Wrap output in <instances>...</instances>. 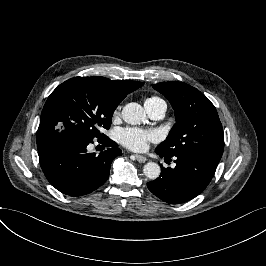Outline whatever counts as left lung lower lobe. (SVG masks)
<instances>
[{
	"mask_svg": "<svg viewBox=\"0 0 266 266\" xmlns=\"http://www.w3.org/2000/svg\"><path fill=\"white\" fill-rule=\"evenodd\" d=\"M155 152L165 160L171 158L156 149ZM174 159V169L162 167L160 176L147 183L154 195L170 204L185 203L199 195L210 183L220 161L197 152L180 153Z\"/></svg>",
	"mask_w": 266,
	"mask_h": 266,
	"instance_id": "left-lung-lower-lobe-1",
	"label": "left lung lower lobe"
}]
</instances>
